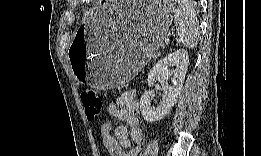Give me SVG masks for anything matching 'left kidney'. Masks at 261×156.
<instances>
[{
    "label": "left kidney",
    "instance_id": "obj_1",
    "mask_svg": "<svg viewBox=\"0 0 261 156\" xmlns=\"http://www.w3.org/2000/svg\"><path fill=\"white\" fill-rule=\"evenodd\" d=\"M188 63L187 51L179 49L161 58L152 68L147 79L148 86L151 87L156 80H159L162 84L163 96L160 104L154 108L151 105L150 90L143 93L140 99V110L147 122L163 119L174 106L185 80ZM171 66L174 69H170ZM170 77H172V84H168Z\"/></svg>",
    "mask_w": 261,
    "mask_h": 156
}]
</instances>
